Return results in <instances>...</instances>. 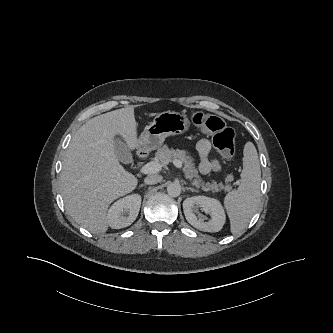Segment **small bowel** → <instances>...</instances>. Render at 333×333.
I'll use <instances>...</instances> for the list:
<instances>
[{
  "mask_svg": "<svg viewBox=\"0 0 333 333\" xmlns=\"http://www.w3.org/2000/svg\"><path fill=\"white\" fill-rule=\"evenodd\" d=\"M210 149L211 143L206 138L201 139L196 145V151L199 157V171L204 175L220 170L219 162L209 159Z\"/></svg>",
  "mask_w": 333,
  "mask_h": 333,
  "instance_id": "1",
  "label": "small bowel"
}]
</instances>
